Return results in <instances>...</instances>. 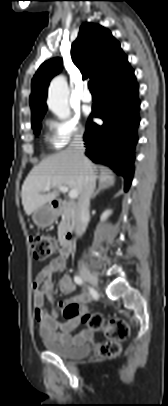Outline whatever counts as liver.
Listing matches in <instances>:
<instances>
[{"mask_svg": "<svg viewBox=\"0 0 168 406\" xmlns=\"http://www.w3.org/2000/svg\"><path fill=\"white\" fill-rule=\"evenodd\" d=\"M92 169L93 173L99 168L100 182L114 183V177L107 168L94 165L88 158L77 159L68 148L43 159L34 166L25 179L22 191V205L25 213L29 216L46 203L54 200L59 192L60 185L68 186L76 190L79 195L84 189V170ZM50 185L52 192L42 194L44 188Z\"/></svg>", "mask_w": 168, "mask_h": 406, "instance_id": "obj_1", "label": "liver"}]
</instances>
